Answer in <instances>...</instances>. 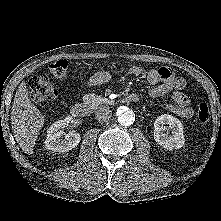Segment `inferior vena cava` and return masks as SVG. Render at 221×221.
<instances>
[{"instance_id": "602c4592", "label": "inferior vena cava", "mask_w": 221, "mask_h": 221, "mask_svg": "<svg viewBox=\"0 0 221 221\" xmlns=\"http://www.w3.org/2000/svg\"><path fill=\"white\" fill-rule=\"evenodd\" d=\"M112 111L107 106H99L95 110V117L100 123H105L112 117Z\"/></svg>"}]
</instances>
